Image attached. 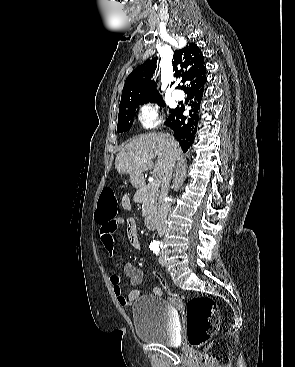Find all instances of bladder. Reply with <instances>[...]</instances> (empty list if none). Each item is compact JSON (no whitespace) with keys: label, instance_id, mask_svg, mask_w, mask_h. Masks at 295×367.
Returning <instances> with one entry per match:
<instances>
[{"label":"bladder","instance_id":"obj_1","mask_svg":"<svg viewBox=\"0 0 295 367\" xmlns=\"http://www.w3.org/2000/svg\"><path fill=\"white\" fill-rule=\"evenodd\" d=\"M132 317L140 340L166 346L177 340L175 313L166 299L154 295L141 296L133 306Z\"/></svg>","mask_w":295,"mask_h":367}]
</instances>
